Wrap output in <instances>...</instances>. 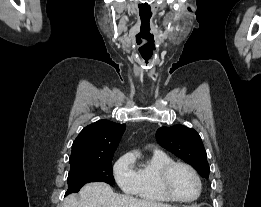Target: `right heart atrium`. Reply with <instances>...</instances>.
Returning a JSON list of instances; mask_svg holds the SVG:
<instances>
[{
    "label": "right heart atrium",
    "mask_w": 261,
    "mask_h": 207,
    "mask_svg": "<svg viewBox=\"0 0 261 207\" xmlns=\"http://www.w3.org/2000/svg\"><path fill=\"white\" fill-rule=\"evenodd\" d=\"M114 178L127 194H135L138 187V174L130 154L122 155L113 166Z\"/></svg>",
    "instance_id": "1"
}]
</instances>
